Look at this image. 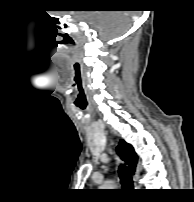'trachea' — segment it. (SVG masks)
I'll list each match as a JSON object with an SVG mask.
<instances>
[{
	"instance_id": "3493384b",
	"label": "trachea",
	"mask_w": 194,
	"mask_h": 202,
	"mask_svg": "<svg viewBox=\"0 0 194 202\" xmlns=\"http://www.w3.org/2000/svg\"><path fill=\"white\" fill-rule=\"evenodd\" d=\"M119 177L123 187L129 188L133 185V180L127 171V167L120 165L119 167Z\"/></svg>"
}]
</instances>
